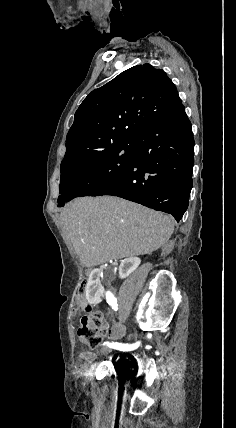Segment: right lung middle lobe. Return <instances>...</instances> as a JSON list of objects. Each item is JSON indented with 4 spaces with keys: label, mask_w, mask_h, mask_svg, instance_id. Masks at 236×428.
Returning a JSON list of instances; mask_svg holds the SVG:
<instances>
[{
    "label": "right lung middle lobe",
    "mask_w": 236,
    "mask_h": 428,
    "mask_svg": "<svg viewBox=\"0 0 236 428\" xmlns=\"http://www.w3.org/2000/svg\"><path fill=\"white\" fill-rule=\"evenodd\" d=\"M135 147V140L122 141L61 169L58 207L110 184L132 163Z\"/></svg>",
    "instance_id": "obj_1"
}]
</instances>
